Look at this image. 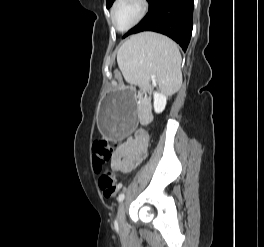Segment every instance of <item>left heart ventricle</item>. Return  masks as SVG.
Masks as SVG:
<instances>
[{"label":"left heart ventricle","instance_id":"left-heart-ventricle-1","mask_svg":"<svg viewBox=\"0 0 264 247\" xmlns=\"http://www.w3.org/2000/svg\"><path fill=\"white\" fill-rule=\"evenodd\" d=\"M139 10L137 0H123L115 10V24L120 28L127 27L137 17Z\"/></svg>","mask_w":264,"mask_h":247}]
</instances>
